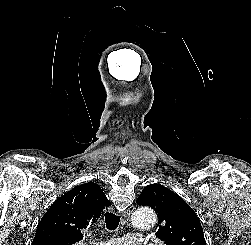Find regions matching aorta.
<instances>
[{
	"label": "aorta",
	"instance_id": "obj_1",
	"mask_svg": "<svg viewBox=\"0 0 251 245\" xmlns=\"http://www.w3.org/2000/svg\"><path fill=\"white\" fill-rule=\"evenodd\" d=\"M157 222L155 212L149 207H139L133 214V225L138 229H149Z\"/></svg>",
	"mask_w": 251,
	"mask_h": 245
}]
</instances>
